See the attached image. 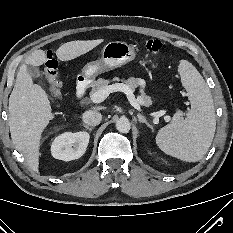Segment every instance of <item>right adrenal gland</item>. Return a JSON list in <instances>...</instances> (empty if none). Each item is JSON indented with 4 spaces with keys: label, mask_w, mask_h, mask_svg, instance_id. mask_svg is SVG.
Here are the masks:
<instances>
[{
    "label": "right adrenal gland",
    "mask_w": 233,
    "mask_h": 233,
    "mask_svg": "<svg viewBox=\"0 0 233 233\" xmlns=\"http://www.w3.org/2000/svg\"><path fill=\"white\" fill-rule=\"evenodd\" d=\"M83 126H84L87 130H89L90 132L93 130V127H89L88 125L83 124Z\"/></svg>",
    "instance_id": "2a0ac1e0"
}]
</instances>
